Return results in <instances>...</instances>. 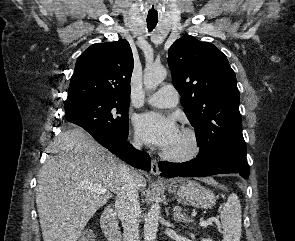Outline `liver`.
Instances as JSON below:
<instances>
[{"label": "liver", "mask_w": 295, "mask_h": 241, "mask_svg": "<svg viewBox=\"0 0 295 241\" xmlns=\"http://www.w3.org/2000/svg\"><path fill=\"white\" fill-rule=\"evenodd\" d=\"M38 175L36 204L44 241H77L87 222L120 190L118 169L123 165L81 129L61 133L49 148ZM135 176L138 190L145 178ZM97 184L105 194L84 188Z\"/></svg>", "instance_id": "liver-1"}]
</instances>
